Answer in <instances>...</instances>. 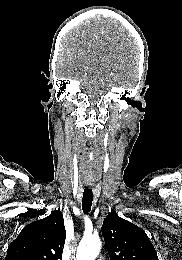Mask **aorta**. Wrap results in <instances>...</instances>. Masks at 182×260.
<instances>
[{"mask_svg":"<svg viewBox=\"0 0 182 260\" xmlns=\"http://www.w3.org/2000/svg\"><path fill=\"white\" fill-rule=\"evenodd\" d=\"M101 249V241L98 237H84L78 248L76 260H95Z\"/></svg>","mask_w":182,"mask_h":260,"instance_id":"aorta-1","label":"aorta"}]
</instances>
